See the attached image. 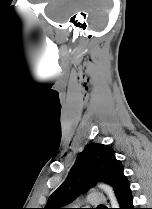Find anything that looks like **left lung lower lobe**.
<instances>
[{
    "instance_id": "0a47b994",
    "label": "left lung lower lobe",
    "mask_w": 152,
    "mask_h": 209,
    "mask_svg": "<svg viewBox=\"0 0 152 209\" xmlns=\"http://www.w3.org/2000/svg\"><path fill=\"white\" fill-rule=\"evenodd\" d=\"M119 203V209H135L133 206V197L130 189V183L126 180L116 193Z\"/></svg>"
}]
</instances>
